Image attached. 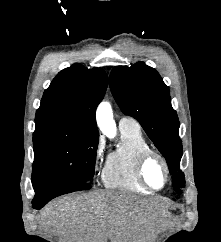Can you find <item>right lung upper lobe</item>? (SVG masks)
I'll return each mask as SVG.
<instances>
[{"mask_svg": "<svg viewBox=\"0 0 221 242\" xmlns=\"http://www.w3.org/2000/svg\"><path fill=\"white\" fill-rule=\"evenodd\" d=\"M107 84V75L101 68L74 64L62 70L44 92L36 112V127L74 126L99 134L95 111Z\"/></svg>", "mask_w": 221, "mask_h": 242, "instance_id": "cb5924a9", "label": "right lung upper lobe"}]
</instances>
